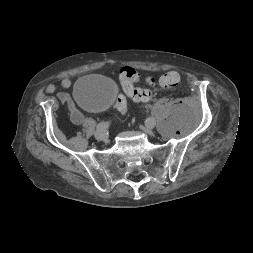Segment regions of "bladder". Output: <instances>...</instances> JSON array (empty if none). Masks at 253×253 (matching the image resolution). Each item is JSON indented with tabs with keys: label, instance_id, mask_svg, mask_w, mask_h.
I'll list each match as a JSON object with an SVG mask.
<instances>
[{
	"label": "bladder",
	"instance_id": "1",
	"mask_svg": "<svg viewBox=\"0 0 253 253\" xmlns=\"http://www.w3.org/2000/svg\"><path fill=\"white\" fill-rule=\"evenodd\" d=\"M73 96L81 107L91 111H102L114 103L117 86L104 76L90 74L77 80Z\"/></svg>",
	"mask_w": 253,
	"mask_h": 253
}]
</instances>
